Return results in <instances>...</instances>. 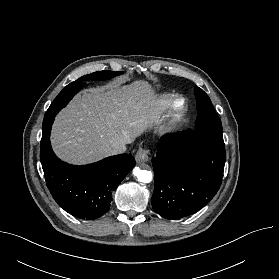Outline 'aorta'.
Masks as SVG:
<instances>
[{"label":"aorta","instance_id":"762f6f07","mask_svg":"<svg viewBox=\"0 0 279 279\" xmlns=\"http://www.w3.org/2000/svg\"><path fill=\"white\" fill-rule=\"evenodd\" d=\"M133 174L139 182L149 183L152 180V173L148 170H141L139 167L134 168Z\"/></svg>","mask_w":279,"mask_h":279}]
</instances>
